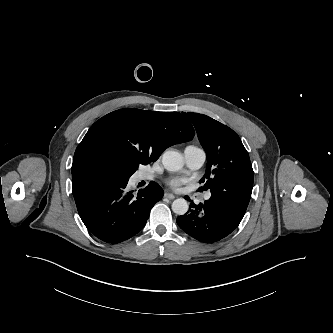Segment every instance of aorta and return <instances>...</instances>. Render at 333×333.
Wrapping results in <instances>:
<instances>
[{"mask_svg":"<svg viewBox=\"0 0 333 333\" xmlns=\"http://www.w3.org/2000/svg\"><path fill=\"white\" fill-rule=\"evenodd\" d=\"M162 164L167 171L177 172L183 167V157L181 153L173 150L164 152ZM188 203L183 198H178L172 203V210L177 215H184L188 211Z\"/></svg>","mask_w":333,"mask_h":333,"instance_id":"762f6f07","label":"aorta"}]
</instances>
